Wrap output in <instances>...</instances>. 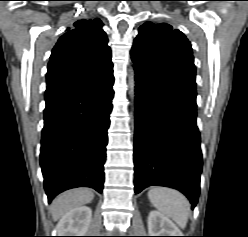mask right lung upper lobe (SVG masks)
<instances>
[{
	"mask_svg": "<svg viewBox=\"0 0 248 237\" xmlns=\"http://www.w3.org/2000/svg\"><path fill=\"white\" fill-rule=\"evenodd\" d=\"M99 19L79 20L52 50L47 89L96 77L112 68L111 50Z\"/></svg>",
	"mask_w": 248,
	"mask_h": 237,
	"instance_id": "1",
	"label": "right lung upper lobe"
}]
</instances>
